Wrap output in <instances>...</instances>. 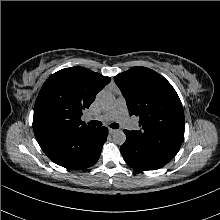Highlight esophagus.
I'll return each mask as SVG.
<instances>
[{
  "instance_id": "34e87169",
  "label": "esophagus",
  "mask_w": 220,
  "mask_h": 220,
  "mask_svg": "<svg viewBox=\"0 0 220 220\" xmlns=\"http://www.w3.org/2000/svg\"><path fill=\"white\" fill-rule=\"evenodd\" d=\"M115 132H116L115 129L109 128V133H110V134H113V133H115Z\"/></svg>"
}]
</instances>
